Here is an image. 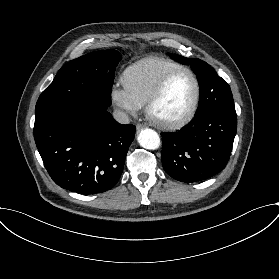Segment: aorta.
Returning <instances> with one entry per match:
<instances>
[{
  "mask_svg": "<svg viewBox=\"0 0 279 279\" xmlns=\"http://www.w3.org/2000/svg\"><path fill=\"white\" fill-rule=\"evenodd\" d=\"M138 142L145 149L155 150L160 146V137L154 130L146 128L139 133Z\"/></svg>",
  "mask_w": 279,
  "mask_h": 279,
  "instance_id": "1",
  "label": "aorta"
}]
</instances>
